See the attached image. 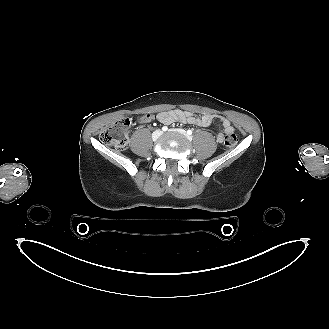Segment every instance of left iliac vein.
Masks as SVG:
<instances>
[{
	"mask_svg": "<svg viewBox=\"0 0 329 329\" xmlns=\"http://www.w3.org/2000/svg\"><path fill=\"white\" fill-rule=\"evenodd\" d=\"M176 131L180 134L186 135V132L183 129H177Z\"/></svg>",
	"mask_w": 329,
	"mask_h": 329,
	"instance_id": "4c4485c4",
	"label": "left iliac vein"
}]
</instances>
